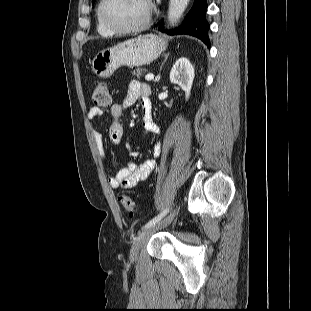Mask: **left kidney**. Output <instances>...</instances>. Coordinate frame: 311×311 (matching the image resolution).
Instances as JSON below:
<instances>
[{"instance_id":"left-kidney-1","label":"left kidney","mask_w":311,"mask_h":311,"mask_svg":"<svg viewBox=\"0 0 311 311\" xmlns=\"http://www.w3.org/2000/svg\"><path fill=\"white\" fill-rule=\"evenodd\" d=\"M194 76V67L190 61L185 57H181L171 69L170 81L171 83L178 84L185 91L186 99H188Z\"/></svg>"}]
</instances>
